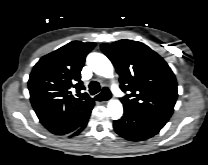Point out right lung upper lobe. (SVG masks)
Listing matches in <instances>:
<instances>
[{"label": "right lung upper lobe", "instance_id": "right-lung-upper-lobe-1", "mask_svg": "<svg viewBox=\"0 0 208 165\" xmlns=\"http://www.w3.org/2000/svg\"><path fill=\"white\" fill-rule=\"evenodd\" d=\"M95 43L72 41L42 57L30 74L32 106L43 126L55 135L75 131L91 113L94 101L87 93L75 98L71 91L84 89L81 70Z\"/></svg>", "mask_w": 208, "mask_h": 165}]
</instances>
